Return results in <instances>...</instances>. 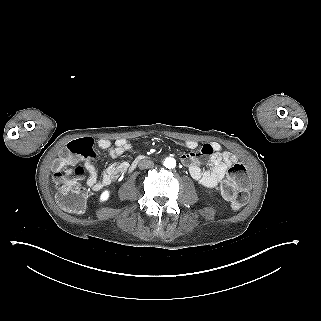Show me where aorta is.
<instances>
[{
    "label": "aorta",
    "mask_w": 321,
    "mask_h": 321,
    "mask_svg": "<svg viewBox=\"0 0 321 321\" xmlns=\"http://www.w3.org/2000/svg\"><path fill=\"white\" fill-rule=\"evenodd\" d=\"M164 166L168 169H172L176 166V160L172 157H168L164 160Z\"/></svg>",
    "instance_id": "762f6f07"
}]
</instances>
